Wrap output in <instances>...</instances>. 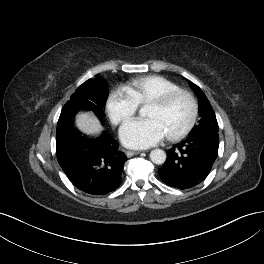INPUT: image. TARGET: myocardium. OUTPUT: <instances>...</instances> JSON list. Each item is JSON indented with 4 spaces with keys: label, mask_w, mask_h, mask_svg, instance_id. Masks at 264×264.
<instances>
[{
    "label": "myocardium",
    "mask_w": 264,
    "mask_h": 264,
    "mask_svg": "<svg viewBox=\"0 0 264 264\" xmlns=\"http://www.w3.org/2000/svg\"><path fill=\"white\" fill-rule=\"evenodd\" d=\"M179 97L187 99L190 106V114L186 123L177 131L167 134V138L171 141L179 140L186 136L194 127L198 117V103L194 95L186 89H176L163 94L162 96L153 99L149 105H154L159 108H165Z\"/></svg>",
    "instance_id": "obj_1"
}]
</instances>
